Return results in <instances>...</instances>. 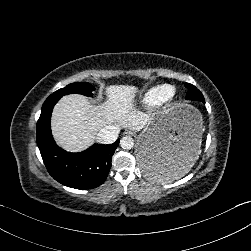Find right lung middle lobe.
Here are the masks:
<instances>
[{
  "mask_svg": "<svg viewBox=\"0 0 251 251\" xmlns=\"http://www.w3.org/2000/svg\"><path fill=\"white\" fill-rule=\"evenodd\" d=\"M95 88L87 83V82H75L72 84L67 85L66 87L57 90L54 92L50 97H62L64 95L72 94V93H78L85 96H92V91H94Z\"/></svg>",
  "mask_w": 251,
  "mask_h": 251,
  "instance_id": "right-lung-middle-lobe-1",
  "label": "right lung middle lobe"
}]
</instances>
